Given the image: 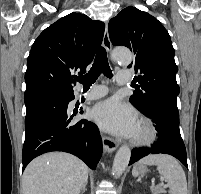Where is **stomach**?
Returning <instances> with one entry per match:
<instances>
[{"instance_id":"stomach-1","label":"stomach","mask_w":201,"mask_h":194,"mask_svg":"<svg viewBox=\"0 0 201 194\" xmlns=\"http://www.w3.org/2000/svg\"><path fill=\"white\" fill-rule=\"evenodd\" d=\"M138 175H145L147 173V168L144 165L137 166Z\"/></svg>"}]
</instances>
